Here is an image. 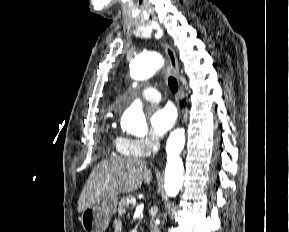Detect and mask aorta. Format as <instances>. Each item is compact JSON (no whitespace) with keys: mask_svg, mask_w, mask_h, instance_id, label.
I'll list each match as a JSON object with an SVG mask.
<instances>
[{"mask_svg":"<svg viewBox=\"0 0 289 232\" xmlns=\"http://www.w3.org/2000/svg\"><path fill=\"white\" fill-rule=\"evenodd\" d=\"M163 66V58L157 52H147L137 55L130 65L131 77L135 80H146L152 77ZM124 131L137 136L147 133V123L142 111V103L135 100L124 112L122 117ZM185 145L184 129L173 131L166 144L167 165L165 169V192L169 197H175L183 185L184 167L180 153Z\"/></svg>","mask_w":289,"mask_h":232,"instance_id":"aorta-1","label":"aorta"}]
</instances>
